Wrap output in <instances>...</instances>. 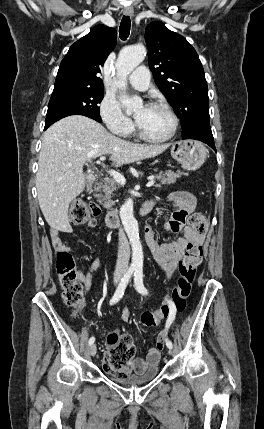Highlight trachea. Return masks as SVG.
<instances>
[{"label":"trachea","mask_w":264,"mask_h":429,"mask_svg":"<svg viewBox=\"0 0 264 429\" xmlns=\"http://www.w3.org/2000/svg\"><path fill=\"white\" fill-rule=\"evenodd\" d=\"M131 21L129 16H123L119 28V36L121 40H126L130 33Z\"/></svg>","instance_id":"obj_1"}]
</instances>
